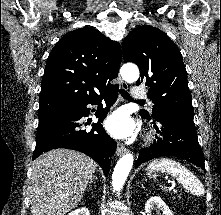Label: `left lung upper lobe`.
Wrapping results in <instances>:
<instances>
[{
    "instance_id": "left-lung-upper-lobe-1",
    "label": "left lung upper lobe",
    "mask_w": 221,
    "mask_h": 215,
    "mask_svg": "<svg viewBox=\"0 0 221 215\" xmlns=\"http://www.w3.org/2000/svg\"><path fill=\"white\" fill-rule=\"evenodd\" d=\"M123 58L135 63L148 97L154 103L152 118L147 111L140 115L156 119L161 114L193 116L191 94L182 55L175 43L161 30L140 26L128 34L122 43Z\"/></svg>"
}]
</instances>
